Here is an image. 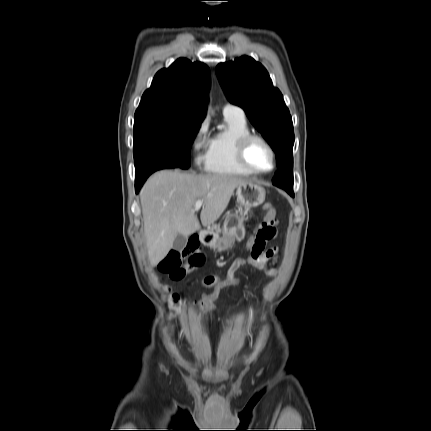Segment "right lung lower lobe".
<instances>
[{"instance_id":"98d812e1","label":"right lung lower lobe","mask_w":431,"mask_h":431,"mask_svg":"<svg viewBox=\"0 0 431 431\" xmlns=\"http://www.w3.org/2000/svg\"><path fill=\"white\" fill-rule=\"evenodd\" d=\"M163 168H175V167H172L171 164H169L168 162L153 161L147 164L146 166H144L142 169L136 170V181H135L136 193L139 192L143 183L145 182V180L148 178L150 174Z\"/></svg>"}]
</instances>
